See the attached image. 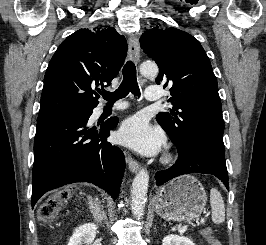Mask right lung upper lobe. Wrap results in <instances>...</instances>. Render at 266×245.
<instances>
[{
	"label": "right lung upper lobe",
	"mask_w": 266,
	"mask_h": 245,
	"mask_svg": "<svg viewBox=\"0 0 266 245\" xmlns=\"http://www.w3.org/2000/svg\"><path fill=\"white\" fill-rule=\"evenodd\" d=\"M126 54V39L112 27L80 29L67 37L46 70L37 122L95 108L94 90L111 83Z\"/></svg>",
	"instance_id": "right-lung-upper-lobe-1"
}]
</instances>
